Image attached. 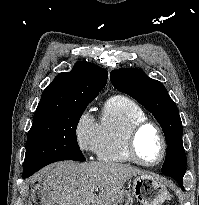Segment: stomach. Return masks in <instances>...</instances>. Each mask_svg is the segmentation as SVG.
Returning <instances> with one entry per match:
<instances>
[{
	"instance_id": "stomach-1",
	"label": "stomach",
	"mask_w": 199,
	"mask_h": 205,
	"mask_svg": "<svg viewBox=\"0 0 199 205\" xmlns=\"http://www.w3.org/2000/svg\"><path fill=\"white\" fill-rule=\"evenodd\" d=\"M167 196L168 190L158 178L141 174L133 179L131 187L121 190L111 205H132L134 200L143 205H162Z\"/></svg>"
}]
</instances>
